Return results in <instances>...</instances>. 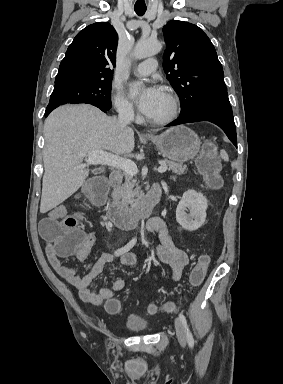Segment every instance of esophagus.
Returning a JSON list of instances; mask_svg holds the SVG:
<instances>
[{
	"label": "esophagus",
	"mask_w": 283,
	"mask_h": 384,
	"mask_svg": "<svg viewBox=\"0 0 283 384\" xmlns=\"http://www.w3.org/2000/svg\"><path fill=\"white\" fill-rule=\"evenodd\" d=\"M145 135H146V136H150L151 134H150V133H146Z\"/></svg>",
	"instance_id": "obj_1"
}]
</instances>
